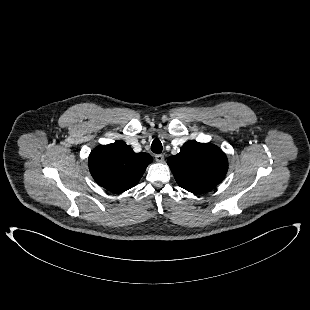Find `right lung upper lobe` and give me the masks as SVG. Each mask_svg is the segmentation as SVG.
Masks as SVG:
<instances>
[{"label": "right lung upper lobe", "mask_w": 310, "mask_h": 310, "mask_svg": "<svg viewBox=\"0 0 310 310\" xmlns=\"http://www.w3.org/2000/svg\"><path fill=\"white\" fill-rule=\"evenodd\" d=\"M153 158L147 153H135L123 141L100 145L89 155V170L94 180L113 193L134 187Z\"/></svg>", "instance_id": "right-lung-upper-lobe-1"}]
</instances>
